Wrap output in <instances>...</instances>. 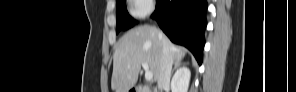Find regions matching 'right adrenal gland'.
Returning a JSON list of instances; mask_svg holds the SVG:
<instances>
[{
  "instance_id": "right-adrenal-gland-1",
  "label": "right adrenal gland",
  "mask_w": 296,
  "mask_h": 92,
  "mask_svg": "<svg viewBox=\"0 0 296 92\" xmlns=\"http://www.w3.org/2000/svg\"><path fill=\"white\" fill-rule=\"evenodd\" d=\"M185 65H186L185 63H182V62H176V63L174 64V68H173L172 74L174 73V71L178 70L180 67L185 66Z\"/></svg>"
}]
</instances>
